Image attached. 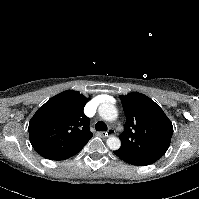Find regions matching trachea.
Wrapping results in <instances>:
<instances>
[{
  "instance_id": "obj_1",
  "label": "trachea",
  "mask_w": 199,
  "mask_h": 199,
  "mask_svg": "<svg viewBox=\"0 0 199 199\" xmlns=\"http://www.w3.org/2000/svg\"><path fill=\"white\" fill-rule=\"evenodd\" d=\"M95 129L97 131H107L108 128H107V125L104 122L99 121V122L96 123Z\"/></svg>"
}]
</instances>
